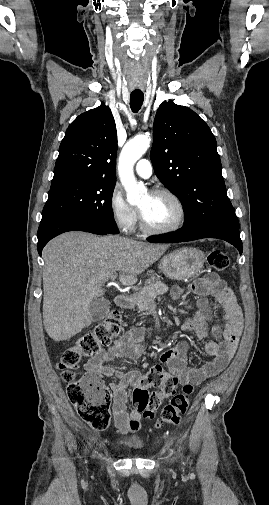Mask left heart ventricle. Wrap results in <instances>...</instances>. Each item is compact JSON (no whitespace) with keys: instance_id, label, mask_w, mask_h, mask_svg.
I'll return each mask as SVG.
<instances>
[{"instance_id":"obj_1","label":"left heart ventricle","mask_w":269,"mask_h":505,"mask_svg":"<svg viewBox=\"0 0 269 505\" xmlns=\"http://www.w3.org/2000/svg\"><path fill=\"white\" fill-rule=\"evenodd\" d=\"M146 221L154 227H166L179 218L176 203L167 196L146 194L138 204Z\"/></svg>"}]
</instances>
